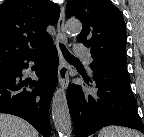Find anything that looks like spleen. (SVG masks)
<instances>
[{
    "label": "spleen",
    "mask_w": 144,
    "mask_h": 137,
    "mask_svg": "<svg viewBox=\"0 0 144 137\" xmlns=\"http://www.w3.org/2000/svg\"><path fill=\"white\" fill-rule=\"evenodd\" d=\"M98 137H141V134L125 127L108 126L100 130Z\"/></svg>",
    "instance_id": "spleen-1"
}]
</instances>
